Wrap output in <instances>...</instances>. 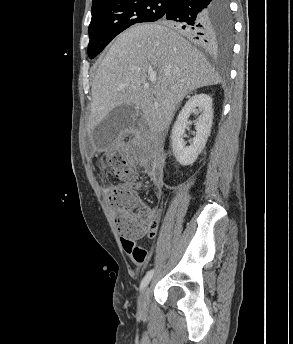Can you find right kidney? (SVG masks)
<instances>
[{
  "label": "right kidney",
  "instance_id": "obj_1",
  "mask_svg": "<svg viewBox=\"0 0 293 344\" xmlns=\"http://www.w3.org/2000/svg\"><path fill=\"white\" fill-rule=\"evenodd\" d=\"M194 113L200 114L195 122L196 135L187 146L183 137L189 125V117ZM213 119L212 98L204 93L195 94L186 102L180 111L172 128L171 146L173 154L179 164L188 166L193 164L204 149L210 136Z\"/></svg>",
  "mask_w": 293,
  "mask_h": 344
}]
</instances>
